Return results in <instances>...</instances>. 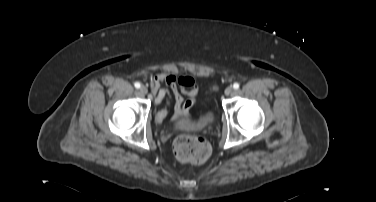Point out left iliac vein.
I'll list each match as a JSON object with an SVG mask.
<instances>
[{"label":"left iliac vein","mask_w":376,"mask_h":202,"mask_svg":"<svg viewBox=\"0 0 376 202\" xmlns=\"http://www.w3.org/2000/svg\"><path fill=\"white\" fill-rule=\"evenodd\" d=\"M232 92H233V88L231 86H229L225 89V95H227V96L230 95Z\"/></svg>","instance_id":"left-iliac-vein-1"}]
</instances>
